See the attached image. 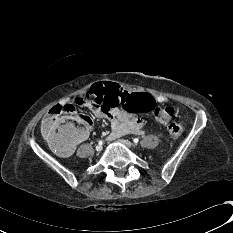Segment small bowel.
<instances>
[{"label": "small bowel", "mask_w": 233, "mask_h": 233, "mask_svg": "<svg viewBox=\"0 0 233 233\" xmlns=\"http://www.w3.org/2000/svg\"><path fill=\"white\" fill-rule=\"evenodd\" d=\"M91 88V87H90ZM90 90V89H89ZM151 94V93H149ZM156 102L166 103L168 98L161 94H151ZM75 107L89 109L97 118H106L111 123L112 137L118 138L127 134H144V121L136 113L123 110L119 107L106 106L95 103L88 94L75 98L72 103ZM83 140V139H82ZM74 145L68 151V155L73 152Z\"/></svg>", "instance_id": "obj_1"}]
</instances>
